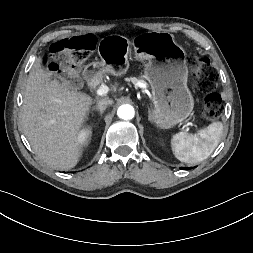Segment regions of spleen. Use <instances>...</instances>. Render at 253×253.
I'll return each instance as SVG.
<instances>
[{"label": "spleen", "mask_w": 253, "mask_h": 253, "mask_svg": "<svg viewBox=\"0 0 253 253\" xmlns=\"http://www.w3.org/2000/svg\"><path fill=\"white\" fill-rule=\"evenodd\" d=\"M223 130L221 122H213L197 134L179 132L171 139L175 157L188 165H196L207 159L217 147Z\"/></svg>", "instance_id": "spleen-1"}]
</instances>
